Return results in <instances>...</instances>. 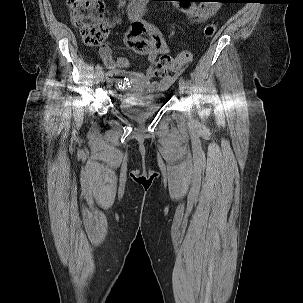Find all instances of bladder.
I'll return each instance as SVG.
<instances>
[{
	"label": "bladder",
	"mask_w": 303,
	"mask_h": 303,
	"mask_svg": "<svg viewBox=\"0 0 303 303\" xmlns=\"http://www.w3.org/2000/svg\"><path fill=\"white\" fill-rule=\"evenodd\" d=\"M163 98V94L125 96L120 101V107L127 117L141 120L158 111L163 105Z\"/></svg>",
	"instance_id": "obj_1"
}]
</instances>
